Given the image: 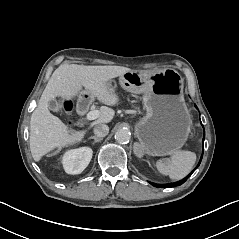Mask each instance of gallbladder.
Wrapping results in <instances>:
<instances>
[{"label":"gallbladder","instance_id":"1","mask_svg":"<svg viewBox=\"0 0 239 239\" xmlns=\"http://www.w3.org/2000/svg\"><path fill=\"white\" fill-rule=\"evenodd\" d=\"M48 108L53 112H63L62 106L55 99L48 101Z\"/></svg>","mask_w":239,"mask_h":239}]
</instances>
